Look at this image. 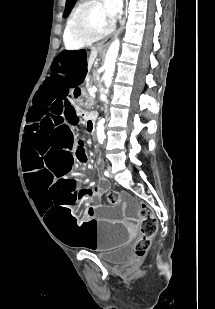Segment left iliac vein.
I'll list each match as a JSON object with an SVG mask.
<instances>
[{"label":"left iliac vein","mask_w":215,"mask_h":309,"mask_svg":"<svg viewBox=\"0 0 215 309\" xmlns=\"http://www.w3.org/2000/svg\"><path fill=\"white\" fill-rule=\"evenodd\" d=\"M108 170H109L110 176L112 177L111 169L109 168Z\"/></svg>","instance_id":"left-iliac-vein-1"}]
</instances>
